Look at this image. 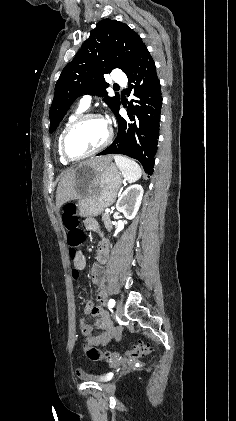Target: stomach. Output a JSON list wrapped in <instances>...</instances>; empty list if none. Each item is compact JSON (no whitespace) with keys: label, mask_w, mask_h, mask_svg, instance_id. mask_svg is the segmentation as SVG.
Instances as JSON below:
<instances>
[{"label":"stomach","mask_w":236,"mask_h":421,"mask_svg":"<svg viewBox=\"0 0 236 421\" xmlns=\"http://www.w3.org/2000/svg\"><path fill=\"white\" fill-rule=\"evenodd\" d=\"M77 182V208L80 217H97L104 208L116 200L122 176L116 164L92 166L87 160L81 162L75 172Z\"/></svg>","instance_id":"obj_1"}]
</instances>
